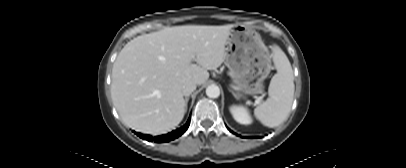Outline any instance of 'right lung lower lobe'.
<instances>
[{
    "label": "right lung lower lobe",
    "instance_id": "obj_1",
    "mask_svg": "<svg viewBox=\"0 0 406 168\" xmlns=\"http://www.w3.org/2000/svg\"><path fill=\"white\" fill-rule=\"evenodd\" d=\"M189 124H190V117H189L188 121L186 122V124L183 125L182 127L178 128V129H176V130H174V131H172V132H170L168 134H165V135H162V136H155L154 138H152L149 135L140 134V133H137V132H135V134L138 135L140 138H142L144 140H147L149 142H151L153 140L156 143L169 142V141H172V140L178 138L179 136H181L188 129Z\"/></svg>",
    "mask_w": 406,
    "mask_h": 168
}]
</instances>
